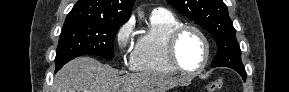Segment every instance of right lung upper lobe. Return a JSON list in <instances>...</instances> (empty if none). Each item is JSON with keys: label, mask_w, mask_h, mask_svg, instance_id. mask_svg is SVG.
Listing matches in <instances>:
<instances>
[{"label": "right lung upper lobe", "mask_w": 289, "mask_h": 92, "mask_svg": "<svg viewBox=\"0 0 289 92\" xmlns=\"http://www.w3.org/2000/svg\"><path fill=\"white\" fill-rule=\"evenodd\" d=\"M135 0H78L65 22L126 23Z\"/></svg>", "instance_id": "1"}]
</instances>
